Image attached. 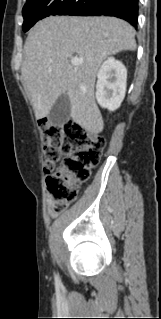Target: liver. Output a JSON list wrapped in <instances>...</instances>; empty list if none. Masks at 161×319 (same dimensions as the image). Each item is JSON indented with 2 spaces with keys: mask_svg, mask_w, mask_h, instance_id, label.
<instances>
[{
  "mask_svg": "<svg viewBox=\"0 0 161 319\" xmlns=\"http://www.w3.org/2000/svg\"><path fill=\"white\" fill-rule=\"evenodd\" d=\"M135 49L134 28L115 17L56 16L38 22L26 39L21 68L36 118L48 116L67 94L73 121L91 134L102 132L96 73L109 55ZM73 56L83 62L73 66L68 60Z\"/></svg>",
  "mask_w": 161,
  "mask_h": 319,
  "instance_id": "obj_1",
  "label": "liver"
}]
</instances>
